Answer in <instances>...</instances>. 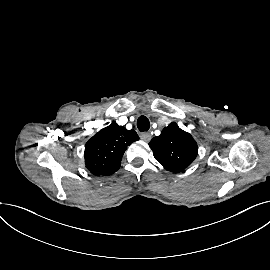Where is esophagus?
Returning <instances> with one entry per match:
<instances>
[{"label": "esophagus", "mask_w": 270, "mask_h": 270, "mask_svg": "<svg viewBox=\"0 0 270 270\" xmlns=\"http://www.w3.org/2000/svg\"><path fill=\"white\" fill-rule=\"evenodd\" d=\"M140 138L141 140L148 142L151 139V135L148 132H143L140 134Z\"/></svg>", "instance_id": "1"}]
</instances>
